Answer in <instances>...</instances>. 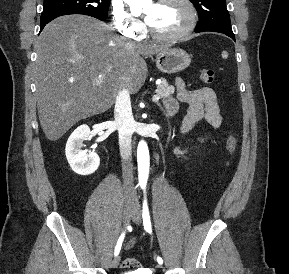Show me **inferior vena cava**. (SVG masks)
<instances>
[{
  "label": "inferior vena cava",
  "mask_w": 289,
  "mask_h": 274,
  "mask_svg": "<svg viewBox=\"0 0 289 274\" xmlns=\"http://www.w3.org/2000/svg\"><path fill=\"white\" fill-rule=\"evenodd\" d=\"M114 118L118 127L119 148L122 158L123 189L126 195L134 194L133 165H132V134L134 119L128 89L119 91L116 101Z\"/></svg>",
  "instance_id": "602c4592"
}]
</instances>
